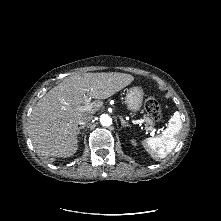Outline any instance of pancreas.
Masks as SVG:
<instances>
[{
  "label": "pancreas",
  "instance_id": "1",
  "mask_svg": "<svg viewBox=\"0 0 221 221\" xmlns=\"http://www.w3.org/2000/svg\"><path fill=\"white\" fill-rule=\"evenodd\" d=\"M145 121H146V127L145 129L147 131H150L153 129L154 123L153 120L150 117H144Z\"/></svg>",
  "mask_w": 221,
  "mask_h": 221
}]
</instances>
